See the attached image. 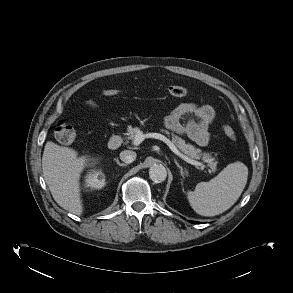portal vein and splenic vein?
<instances>
[{
  "label": "portal vein and splenic vein",
  "mask_w": 293,
  "mask_h": 293,
  "mask_svg": "<svg viewBox=\"0 0 293 293\" xmlns=\"http://www.w3.org/2000/svg\"><path fill=\"white\" fill-rule=\"evenodd\" d=\"M146 138H154V139L162 140L163 142H165L169 146V148L177 156H179L181 159H183L187 163L195 165V166H200L202 168H206V166L202 162L193 160V159L189 158L188 156L184 155L183 153H181L178 150V148L173 144V142H171L168 138H166L164 135H162L160 133L151 132V133L143 134V132L138 131L137 134H136L135 139L133 140V145L138 146Z\"/></svg>",
  "instance_id": "1"
}]
</instances>
